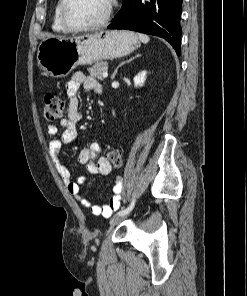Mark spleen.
<instances>
[{
	"instance_id": "obj_1",
	"label": "spleen",
	"mask_w": 247,
	"mask_h": 296,
	"mask_svg": "<svg viewBox=\"0 0 247 296\" xmlns=\"http://www.w3.org/2000/svg\"><path fill=\"white\" fill-rule=\"evenodd\" d=\"M138 38L142 43H148L150 40V38L147 35L141 33L138 34Z\"/></svg>"
}]
</instances>
